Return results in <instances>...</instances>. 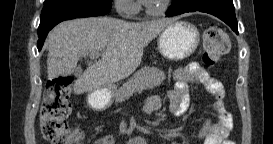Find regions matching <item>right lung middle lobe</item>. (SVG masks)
Returning <instances> with one entry per match:
<instances>
[{
	"instance_id": "dd1d6c3e",
	"label": "right lung middle lobe",
	"mask_w": 273,
	"mask_h": 144,
	"mask_svg": "<svg viewBox=\"0 0 273 144\" xmlns=\"http://www.w3.org/2000/svg\"><path fill=\"white\" fill-rule=\"evenodd\" d=\"M53 1L54 0H45L44 5H46V4L50 3V2H53Z\"/></svg>"
}]
</instances>
